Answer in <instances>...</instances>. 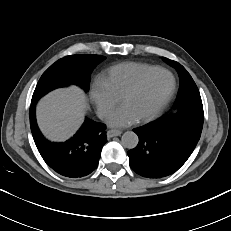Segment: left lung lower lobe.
Listing matches in <instances>:
<instances>
[{"label": "left lung lower lobe", "instance_id": "0a47b994", "mask_svg": "<svg viewBox=\"0 0 231 231\" xmlns=\"http://www.w3.org/2000/svg\"><path fill=\"white\" fill-rule=\"evenodd\" d=\"M203 120L158 119L134 130L138 145L128 152L129 165L139 175L161 178L176 172L200 139Z\"/></svg>", "mask_w": 231, "mask_h": 231}]
</instances>
